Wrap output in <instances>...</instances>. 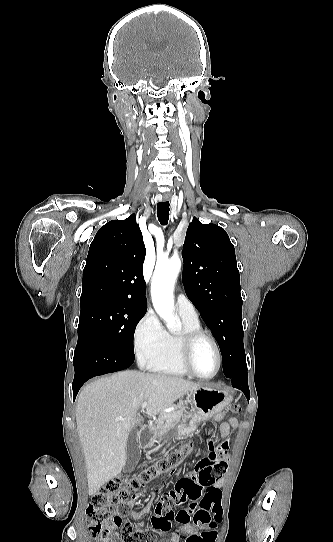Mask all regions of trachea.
I'll use <instances>...</instances> for the list:
<instances>
[{"instance_id": "3493384b", "label": "trachea", "mask_w": 333, "mask_h": 542, "mask_svg": "<svg viewBox=\"0 0 333 542\" xmlns=\"http://www.w3.org/2000/svg\"><path fill=\"white\" fill-rule=\"evenodd\" d=\"M158 220L162 225H166L169 220V202H159L157 204Z\"/></svg>"}]
</instances>
